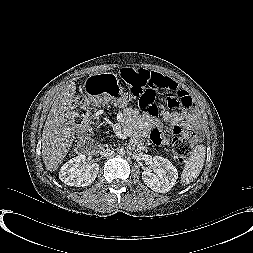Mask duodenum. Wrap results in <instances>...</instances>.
<instances>
[{
  "label": "duodenum",
  "instance_id": "obj_1",
  "mask_svg": "<svg viewBox=\"0 0 253 253\" xmlns=\"http://www.w3.org/2000/svg\"><path fill=\"white\" fill-rule=\"evenodd\" d=\"M78 151L85 155H94L99 153V148L90 140L84 139L78 145Z\"/></svg>",
  "mask_w": 253,
  "mask_h": 253
}]
</instances>
